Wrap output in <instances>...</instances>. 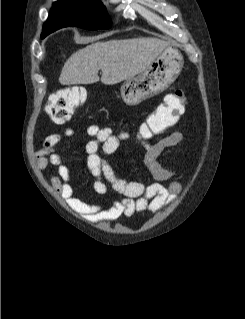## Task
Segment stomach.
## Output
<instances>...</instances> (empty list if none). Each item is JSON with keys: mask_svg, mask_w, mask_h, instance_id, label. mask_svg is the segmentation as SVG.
Listing matches in <instances>:
<instances>
[{"mask_svg": "<svg viewBox=\"0 0 245 319\" xmlns=\"http://www.w3.org/2000/svg\"><path fill=\"white\" fill-rule=\"evenodd\" d=\"M183 64L181 53L175 48L166 47L145 70L122 84V100L134 106L162 93L179 76Z\"/></svg>", "mask_w": 245, "mask_h": 319, "instance_id": "0dacf381", "label": "stomach"}]
</instances>
